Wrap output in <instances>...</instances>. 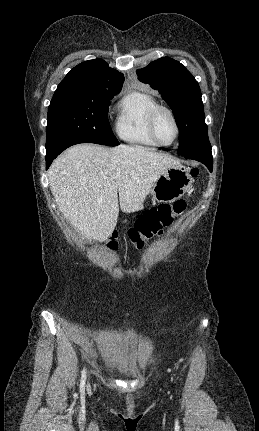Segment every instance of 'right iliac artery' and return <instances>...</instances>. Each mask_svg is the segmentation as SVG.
I'll return each mask as SVG.
<instances>
[{
	"label": "right iliac artery",
	"mask_w": 259,
	"mask_h": 431,
	"mask_svg": "<svg viewBox=\"0 0 259 431\" xmlns=\"http://www.w3.org/2000/svg\"><path fill=\"white\" fill-rule=\"evenodd\" d=\"M85 381H86V370H85V369H83V371H82V376H81V384H80V388H81V390H83V389H84Z\"/></svg>",
	"instance_id": "82829eb1"
}]
</instances>
